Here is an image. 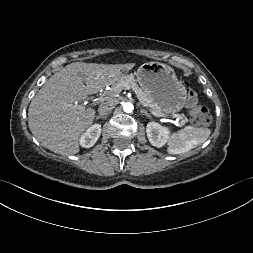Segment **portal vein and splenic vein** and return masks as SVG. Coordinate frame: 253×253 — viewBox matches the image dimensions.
Wrapping results in <instances>:
<instances>
[{
	"label": "portal vein and splenic vein",
	"instance_id": "1",
	"mask_svg": "<svg viewBox=\"0 0 253 253\" xmlns=\"http://www.w3.org/2000/svg\"><path fill=\"white\" fill-rule=\"evenodd\" d=\"M121 89H124V90H130V87L128 85H122L121 86ZM111 99V96L108 95V96H101L99 98H97L96 100H94V103L97 104L98 102L100 101H106V100H109ZM149 111L154 115V116H157V117H165L166 115L161 113V112H156V111H153L151 109H149ZM173 118H177V119H183V117L181 115H178V114H173L172 115Z\"/></svg>",
	"mask_w": 253,
	"mask_h": 253
}]
</instances>
